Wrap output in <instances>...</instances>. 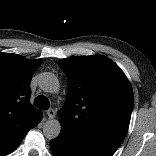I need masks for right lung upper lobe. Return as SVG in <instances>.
<instances>
[{
	"label": "right lung upper lobe",
	"instance_id": "cb5924a9",
	"mask_svg": "<svg viewBox=\"0 0 156 156\" xmlns=\"http://www.w3.org/2000/svg\"><path fill=\"white\" fill-rule=\"evenodd\" d=\"M41 62L0 52V146L13 144L41 119L30 103V82Z\"/></svg>",
	"mask_w": 156,
	"mask_h": 156
}]
</instances>
